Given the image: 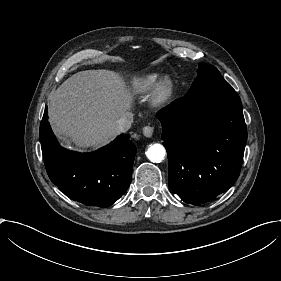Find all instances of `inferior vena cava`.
Segmentation results:
<instances>
[{"instance_id":"inferior-vena-cava-1","label":"inferior vena cava","mask_w":281,"mask_h":281,"mask_svg":"<svg viewBox=\"0 0 281 281\" xmlns=\"http://www.w3.org/2000/svg\"><path fill=\"white\" fill-rule=\"evenodd\" d=\"M132 121L133 114L127 112L123 117L115 122V127L119 133L126 132L130 129Z\"/></svg>"}]
</instances>
